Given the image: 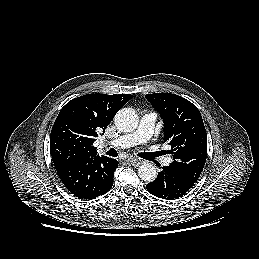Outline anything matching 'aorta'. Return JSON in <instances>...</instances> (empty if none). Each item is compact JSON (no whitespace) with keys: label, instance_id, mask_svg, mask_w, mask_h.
I'll list each match as a JSON object with an SVG mask.
<instances>
[{"label":"aorta","instance_id":"1","mask_svg":"<svg viewBox=\"0 0 259 259\" xmlns=\"http://www.w3.org/2000/svg\"><path fill=\"white\" fill-rule=\"evenodd\" d=\"M114 122L119 131L132 132L138 126V115L131 108H123L115 115ZM138 175L142 180L152 182L157 177L156 167L151 163H143L138 169Z\"/></svg>","mask_w":259,"mask_h":259}]
</instances>
